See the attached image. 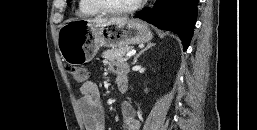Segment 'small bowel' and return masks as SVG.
I'll use <instances>...</instances> for the list:
<instances>
[{
    "instance_id": "c3829d8e",
    "label": "small bowel",
    "mask_w": 257,
    "mask_h": 130,
    "mask_svg": "<svg viewBox=\"0 0 257 130\" xmlns=\"http://www.w3.org/2000/svg\"><path fill=\"white\" fill-rule=\"evenodd\" d=\"M109 69L116 75V82H126L127 65L124 63H110ZM79 106L86 130H105V113L101 104L100 91L96 84L86 81L81 86ZM123 119L122 130H140V122L131 104L121 105Z\"/></svg>"
}]
</instances>
